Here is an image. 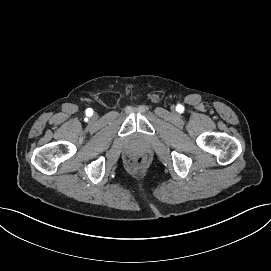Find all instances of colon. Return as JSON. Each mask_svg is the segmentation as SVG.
<instances>
[{
	"mask_svg": "<svg viewBox=\"0 0 271 271\" xmlns=\"http://www.w3.org/2000/svg\"><path fill=\"white\" fill-rule=\"evenodd\" d=\"M129 163L134 168H142L145 165V159L141 156H136Z\"/></svg>",
	"mask_w": 271,
	"mask_h": 271,
	"instance_id": "1",
	"label": "colon"
}]
</instances>
